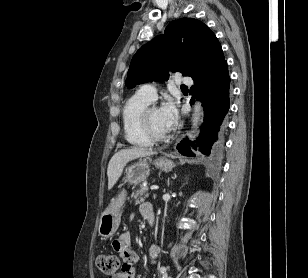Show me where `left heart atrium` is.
<instances>
[{
	"label": "left heart atrium",
	"instance_id": "39dd6f15",
	"mask_svg": "<svg viewBox=\"0 0 308 278\" xmlns=\"http://www.w3.org/2000/svg\"><path fill=\"white\" fill-rule=\"evenodd\" d=\"M161 123L166 132L172 130L178 121V113L175 105L168 101L159 109Z\"/></svg>",
	"mask_w": 308,
	"mask_h": 278
}]
</instances>
